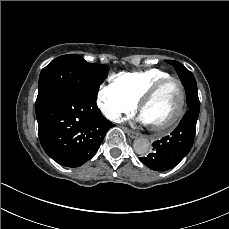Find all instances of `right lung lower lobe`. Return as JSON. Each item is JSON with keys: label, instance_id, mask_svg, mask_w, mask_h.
<instances>
[{"label": "right lung lower lobe", "instance_id": "obj_1", "mask_svg": "<svg viewBox=\"0 0 229 229\" xmlns=\"http://www.w3.org/2000/svg\"><path fill=\"white\" fill-rule=\"evenodd\" d=\"M40 143L57 163L78 167L90 160L114 125L94 99L72 88L49 95L36 108Z\"/></svg>", "mask_w": 229, "mask_h": 229}]
</instances>
